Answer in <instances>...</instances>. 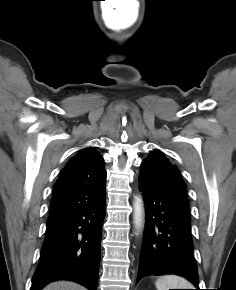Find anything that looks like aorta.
Segmentation results:
<instances>
[{
    "label": "aorta",
    "instance_id": "aorta-1",
    "mask_svg": "<svg viewBox=\"0 0 236 290\" xmlns=\"http://www.w3.org/2000/svg\"><path fill=\"white\" fill-rule=\"evenodd\" d=\"M142 209L141 199L137 197L134 203V224L137 231H140L142 226Z\"/></svg>",
    "mask_w": 236,
    "mask_h": 290
}]
</instances>
